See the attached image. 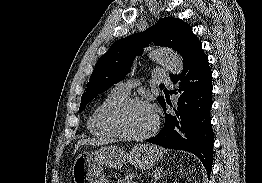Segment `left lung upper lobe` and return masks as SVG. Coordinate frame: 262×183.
I'll return each mask as SVG.
<instances>
[{"label":"left lung upper lobe","mask_w":262,"mask_h":183,"mask_svg":"<svg viewBox=\"0 0 262 183\" xmlns=\"http://www.w3.org/2000/svg\"><path fill=\"white\" fill-rule=\"evenodd\" d=\"M150 40L157 46L169 47L179 52L183 64L202 49V43L193 34L192 28L173 17L162 18L142 33L117 40L96 63L86 90L82 94L79 112L98 94L125 78L135 56L142 53ZM157 100L161 103L164 98L159 96Z\"/></svg>","instance_id":"left-lung-upper-lobe-1"}]
</instances>
